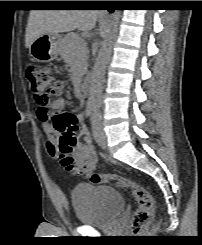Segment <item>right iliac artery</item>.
<instances>
[{
  "label": "right iliac artery",
  "mask_w": 202,
  "mask_h": 245,
  "mask_svg": "<svg viewBox=\"0 0 202 245\" xmlns=\"http://www.w3.org/2000/svg\"><path fill=\"white\" fill-rule=\"evenodd\" d=\"M93 110H94V105L93 104H88L87 108H86V111H85L86 116L87 117H91Z\"/></svg>",
  "instance_id": "82829eb1"
}]
</instances>
